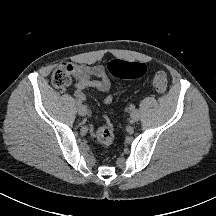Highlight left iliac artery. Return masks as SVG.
<instances>
[{
  "instance_id": "1",
  "label": "left iliac artery",
  "mask_w": 216,
  "mask_h": 216,
  "mask_svg": "<svg viewBox=\"0 0 216 216\" xmlns=\"http://www.w3.org/2000/svg\"><path fill=\"white\" fill-rule=\"evenodd\" d=\"M129 110H130V111H134V110H135V105L131 104V105L129 106Z\"/></svg>"
}]
</instances>
